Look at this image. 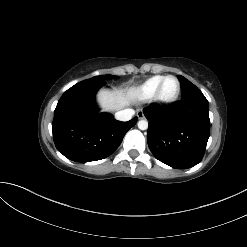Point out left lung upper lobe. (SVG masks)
Here are the masks:
<instances>
[{"instance_id":"left-lung-upper-lobe-1","label":"left lung upper lobe","mask_w":247,"mask_h":247,"mask_svg":"<svg viewBox=\"0 0 247 247\" xmlns=\"http://www.w3.org/2000/svg\"><path fill=\"white\" fill-rule=\"evenodd\" d=\"M178 79L181 83V96H185L187 92L193 88H197L194 84H192L189 80L179 75Z\"/></svg>"}]
</instances>
